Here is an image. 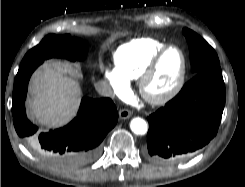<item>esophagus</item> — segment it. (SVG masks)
<instances>
[{
  "instance_id": "1",
  "label": "esophagus",
  "mask_w": 245,
  "mask_h": 187,
  "mask_svg": "<svg viewBox=\"0 0 245 187\" xmlns=\"http://www.w3.org/2000/svg\"><path fill=\"white\" fill-rule=\"evenodd\" d=\"M131 116H132V111L129 110V109H121V110L119 111V117H120L121 119H128V118H130Z\"/></svg>"
}]
</instances>
